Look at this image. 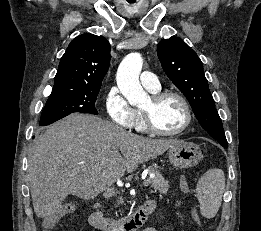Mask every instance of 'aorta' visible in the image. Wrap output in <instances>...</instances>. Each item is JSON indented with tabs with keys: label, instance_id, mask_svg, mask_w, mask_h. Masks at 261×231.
I'll use <instances>...</instances> for the list:
<instances>
[{
	"label": "aorta",
	"instance_id": "1",
	"mask_svg": "<svg viewBox=\"0 0 261 231\" xmlns=\"http://www.w3.org/2000/svg\"><path fill=\"white\" fill-rule=\"evenodd\" d=\"M142 65L141 55L131 53L123 59L117 71V85L123 96L133 106L145 102L148 97L139 82Z\"/></svg>",
	"mask_w": 261,
	"mask_h": 231
}]
</instances>
